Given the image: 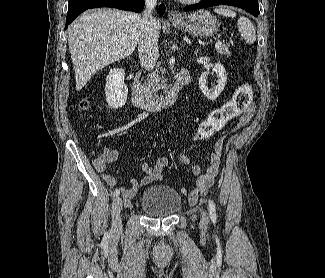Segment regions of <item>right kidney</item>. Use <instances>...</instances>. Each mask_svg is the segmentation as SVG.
<instances>
[{"label": "right kidney", "mask_w": 325, "mask_h": 278, "mask_svg": "<svg viewBox=\"0 0 325 278\" xmlns=\"http://www.w3.org/2000/svg\"><path fill=\"white\" fill-rule=\"evenodd\" d=\"M125 73L123 69H111L106 78V101L111 108L118 109L127 101L128 88L124 83Z\"/></svg>", "instance_id": "right-kidney-1"}]
</instances>
